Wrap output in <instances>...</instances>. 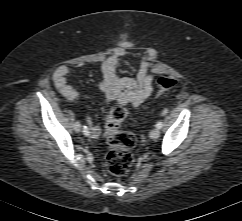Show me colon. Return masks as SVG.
Here are the masks:
<instances>
[{
    "label": "colon",
    "instance_id": "colon-1",
    "mask_svg": "<svg viewBox=\"0 0 242 221\" xmlns=\"http://www.w3.org/2000/svg\"><path fill=\"white\" fill-rule=\"evenodd\" d=\"M178 81L170 77H160L158 87L165 91L176 87ZM128 115L126 106L122 103H115L112 107L106 122L105 132L108 143L106 166L109 172L115 176L126 175L132 164L133 155L131 150L136 145L135 136L122 128V123Z\"/></svg>",
    "mask_w": 242,
    "mask_h": 221
}]
</instances>
